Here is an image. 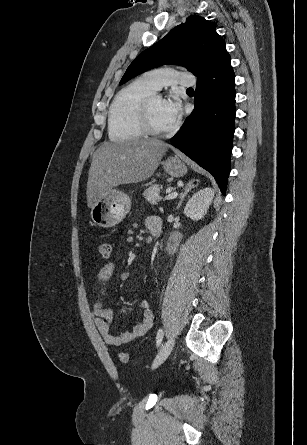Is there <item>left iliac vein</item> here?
Returning a JSON list of instances; mask_svg holds the SVG:
<instances>
[{"label":"left iliac vein","mask_w":307,"mask_h":445,"mask_svg":"<svg viewBox=\"0 0 307 445\" xmlns=\"http://www.w3.org/2000/svg\"><path fill=\"white\" fill-rule=\"evenodd\" d=\"M173 347H174V339L171 337L161 347L160 351L158 352L157 356L154 359L152 368H157L160 364H162L170 355L171 351L173 350Z\"/></svg>","instance_id":"obj_1"}]
</instances>
